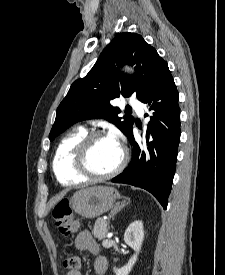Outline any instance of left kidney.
Here are the masks:
<instances>
[{"label":"left kidney","mask_w":225,"mask_h":275,"mask_svg":"<svg viewBox=\"0 0 225 275\" xmlns=\"http://www.w3.org/2000/svg\"><path fill=\"white\" fill-rule=\"evenodd\" d=\"M144 240V230L142 221H135L129 225L124 234V242L130 246L135 254L130 258L128 263L122 268H114L116 275H128L132 270L133 265L137 261V256L141 250Z\"/></svg>","instance_id":"obj_1"}]
</instances>
